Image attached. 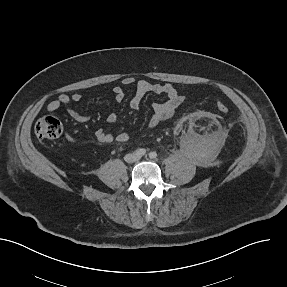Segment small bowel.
<instances>
[{"instance_id":"small-bowel-1","label":"small bowel","mask_w":287,"mask_h":287,"mask_svg":"<svg viewBox=\"0 0 287 287\" xmlns=\"http://www.w3.org/2000/svg\"><path fill=\"white\" fill-rule=\"evenodd\" d=\"M122 84L124 86L135 87V93L130 100V107L135 110L140 107L146 94H164L166 96V100L164 102L153 104L152 114L148 121V127L150 128H153L161 121L170 118L183 102V96L179 94L177 89L171 83H152L146 80H136L133 76H126L122 79ZM112 93L114 100L117 103H121L125 99V92L119 86L114 87ZM82 98L83 96L80 93H74L72 95L61 94L47 104V111L56 112L61 107H64L71 119L78 123H86L88 122L89 117L80 113L73 107V104L80 102ZM116 118V114L112 112L108 114L107 121L112 123L116 121ZM94 136L98 142L103 144H110L114 141L126 143L130 139L129 135L125 132L113 135L102 129L97 130ZM68 141L75 142L76 140L74 137L68 136Z\"/></svg>"}]
</instances>
